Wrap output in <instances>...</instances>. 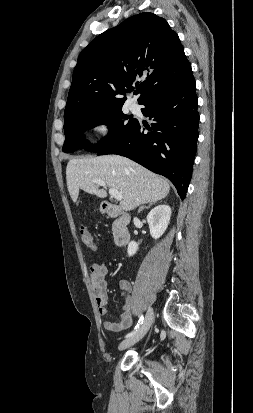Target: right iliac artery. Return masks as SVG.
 <instances>
[{
	"label": "right iliac artery",
	"mask_w": 253,
	"mask_h": 413,
	"mask_svg": "<svg viewBox=\"0 0 253 413\" xmlns=\"http://www.w3.org/2000/svg\"><path fill=\"white\" fill-rule=\"evenodd\" d=\"M144 322V316L141 315L139 320H138V324L135 326L134 330L132 332H130L129 334L126 335V338L133 336L138 330L141 324H143Z\"/></svg>",
	"instance_id": "82829eb1"
}]
</instances>
